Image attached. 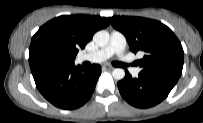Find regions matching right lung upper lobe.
<instances>
[{"label": "right lung upper lobe", "instance_id": "right-lung-upper-lobe-1", "mask_svg": "<svg viewBox=\"0 0 203 123\" xmlns=\"http://www.w3.org/2000/svg\"><path fill=\"white\" fill-rule=\"evenodd\" d=\"M109 25L107 18L91 15H63L44 24L34 36L50 34L62 40L76 56L94 33Z\"/></svg>", "mask_w": 203, "mask_h": 123}]
</instances>
